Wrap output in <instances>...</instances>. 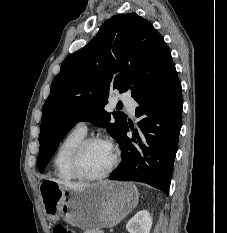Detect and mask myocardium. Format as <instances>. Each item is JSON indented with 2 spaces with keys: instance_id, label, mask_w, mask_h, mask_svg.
<instances>
[{
  "instance_id": "myocardium-1",
  "label": "myocardium",
  "mask_w": 227,
  "mask_h": 233,
  "mask_svg": "<svg viewBox=\"0 0 227 233\" xmlns=\"http://www.w3.org/2000/svg\"><path fill=\"white\" fill-rule=\"evenodd\" d=\"M93 143H106L110 146L112 150V161L109 167L102 173L97 175H91L85 173L81 168V158L84 151ZM119 162L118 152L115 146L107 139L98 136H91L84 138L73 150L71 158H70V167L73 174L76 178L86 181H98L108 177L113 170L116 168Z\"/></svg>"
}]
</instances>
